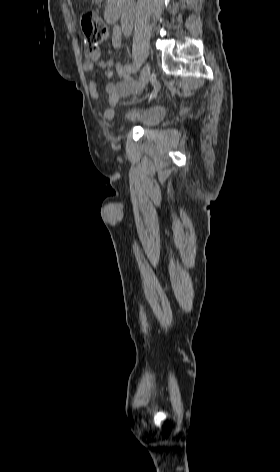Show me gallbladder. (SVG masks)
Masks as SVG:
<instances>
[{
    "label": "gallbladder",
    "mask_w": 280,
    "mask_h": 472,
    "mask_svg": "<svg viewBox=\"0 0 280 472\" xmlns=\"http://www.w3.org/2000/svg\"><path fill=\"white\" fill-rule=\"evenodd\" d=\"M96 4H99L102 0H93Z\"/></svg>",
    "instance_id": "bac80fb5"
}]
</instances>
